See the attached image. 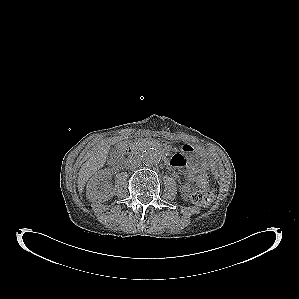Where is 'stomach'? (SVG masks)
Returning <instances> with one entry per match:
<instances>
[{"mask_svg":"<svg viewBox=\"0 0 299 299\" xmlns=\"http://www.w3.org/2000/svg\"><path fill=\"white\" fill-rule=\"evenodd\" d=\"M183 154L187 157L188 166L191 169H203L206 166V154L193 144H186L183 147Z\"/></svg>","mask_w":299,"mask_h":299,"instance_id":"0dacf381","label":"stomach"}]
</instances>
